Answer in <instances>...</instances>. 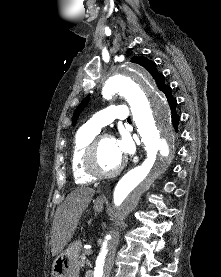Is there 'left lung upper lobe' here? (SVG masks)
<instances>
[{
	"mask_svg": "<svg viewBox=\"0 0 221 277\" xmlns=\"http://www.w3.org/2000/svg\"><path fill=\"white\" fill-rule=\"evenodd\" d=\"M131 62L137 63L141 66H143L144 68H146L148 70V72L152 75V77L155 79L156 84L159 88V90H161L162 92L165 90V88L167 87V85L164 82V76L162 74H160L157 70H156V64L151 61L148 60L147 58H145L144 56H134L131 60ZM90 99V96H87L81 103L80 105L76 108L74 114H73V119H72V123L75 124L76 119L78 118L79 114L81 113V111L86 107V105L88 104Z\"/></svg>",
	"mask_w": 221,
	"mask_h": 277,
	"instance_id": "1",
	"label": "left lung upper lobe"
}]
</instances>
